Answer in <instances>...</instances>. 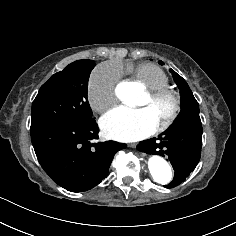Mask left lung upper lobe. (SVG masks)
Here are the masks:
<instances>
[{"label":"left lung upper lobe","mask_w":236,"mask_h":236,"mask_svg":"<svg viewBox=\"0 0 236 236\" xmlns=\"http://www.w3.org/2000/svg\"><path fill=\"white\" fill-rule=\"evenodd\" d=\"M163 64V62H159ZM173 78L181 93V111L173 124L201 125L199 105L185 80L171 69Z\"/></svg>","instance_id":"obj_1"}]
</instances>
